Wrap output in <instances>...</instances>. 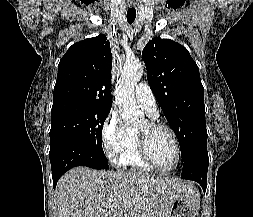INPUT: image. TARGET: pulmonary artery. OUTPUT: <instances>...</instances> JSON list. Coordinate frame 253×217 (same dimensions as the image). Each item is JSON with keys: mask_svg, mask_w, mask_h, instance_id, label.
Segmentation results:
<instances>
[{"mask_svg": "<svg viewBox=\"0 0 253 217\" xmlns=\"http://www.w3.org/2000/svg\"><path fill=\"white\" fill-rule=\"evenodd\" d=\"M135 97L141 108L151 117H157L156 99L146 83H140L135 88Z\"/></svg>", "mask_w": 253, "mask_h": 217, "instance_id": "e3ab8cb5", "label": "pulmonary artery"}]
</instances>
